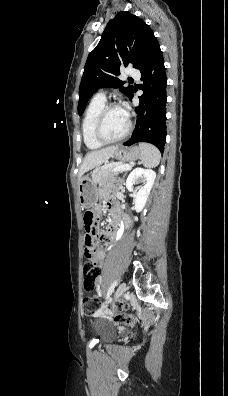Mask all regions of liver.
I'll use <instances>...</instances> for the list:
<instances>
[{"instance_id": "6515ba94", "label": "liver", "mask_w": 228, "mask_h": 396, "mask_svg": "<svg viewBox=\"0 0 228 396\" xmlns=\"http://www.w3.org/2000/svg\"><path fill=\"white\" fill-rule=\"evenodd\" d=\"M118 149L117 146H109L101 150H95L86 154L78 174L80 181L84 173L106 163L113 153Z\"/></svg>"}]
</instances>
